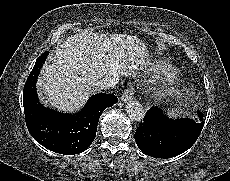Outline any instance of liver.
<instances>
[{
  "instance_id": "1",
  "label": "liver",
  "mask_w": 230,
  "mask_h": 181,
  "mask_svg": "<svg viewBox=\"0 0 230 181\" xmlns=\"http://www.w3.org/2000/svg\"><path fill=\"white\" fill-rule=\"evenodd\" d=\"M146 57L145 45L131 36L75 34L49 56L38 91L51 106L74 111L89 98L95 81L135 74L146 67Z\"/></svg>"
}]
</instances>
